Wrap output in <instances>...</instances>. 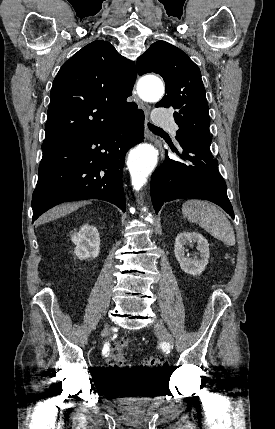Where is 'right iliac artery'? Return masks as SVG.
Here are the masks:
<instances>
[{
  "mask_svg": "<svg viewBox=\"0 0 275 429\" xmlns=\"http://www.w3.org/2000/svg\"><path fill=\"white\" fill-rule=\"evenodd\" d=\"M108 350H109V344H105V346L103 348V355H106Z\"/></svg>",
  "mask_w": 275,
  "mask_h": 429,
  "instance_id": "1",
  "label": "right iliac artery"
}]
</instances>
